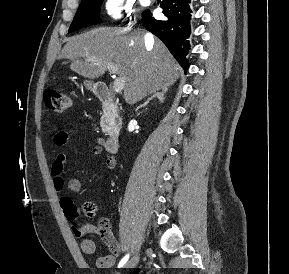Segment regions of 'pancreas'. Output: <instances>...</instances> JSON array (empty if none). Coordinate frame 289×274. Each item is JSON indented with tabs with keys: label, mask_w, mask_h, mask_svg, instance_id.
<instances>
[{
	"label": "pancreas",
	"mask_w": 289,
	"mask_h": 274,
	"mask_svg": "<svg viewBox=\"0 0 289 274\" xmlns=\"http://www.w3.org/2000/svg\"><path fill=\"white\" fill-rule=\"evenodd\" d=\"M100 126L102 132L105 134H110L115 128V116L114 112L105 113L101 117Z\"/></svg>",
	"instance_id": "pancreas-1"
}]
</instances>
